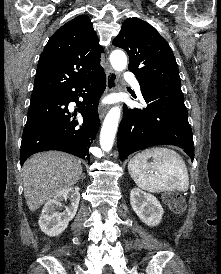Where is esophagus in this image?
Wrapping results in <instances>:
<instances>
[{
    "mask_svg": "<svg viewBox=\"0 0 221 274\" xmlns=\"http://www.w3.org/2000/svg\"><path fill=\"white\" fill-rule=\"evenodd\" d=\"M118 86H119L118 75L112 68H109L108 71H107L106 93L116 91ZM107 110H108V107L101 106L99 108V118L100 119H103V117L107 113Z\"/></svg>",
    "mask_w": 221,
    "mask_h": 274,
    "instance_id": "34e87169",
    "label": "esophagus"
}]
</instances>
